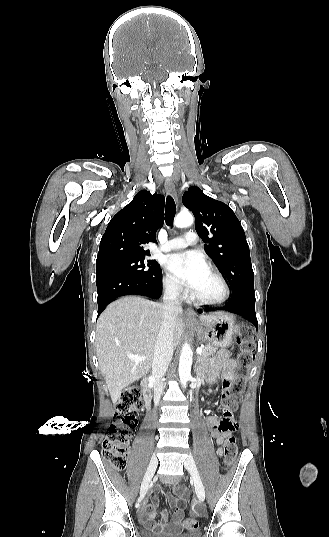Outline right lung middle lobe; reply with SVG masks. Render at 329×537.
I'll return each mask as SVG.
<instances>
[{
  "label": "right lung middle lobe",
  "mask_w": 329,
  "mask_h": 537,
  "mask_svg": "<svg viewBox=\"0 0 329 537\" xmlns=\"http://www.w3.org/2000/svg\"><path fill=\"white\" fill-rule=\"evenodd\" d=\"M160 271V266L155 260L145 261V257L113 260L96 265L97 274L100 272H116L140 278L152 279L156 278Z\"/></svg>",
  "instance_id": "obj_1"
}]
</instances>
